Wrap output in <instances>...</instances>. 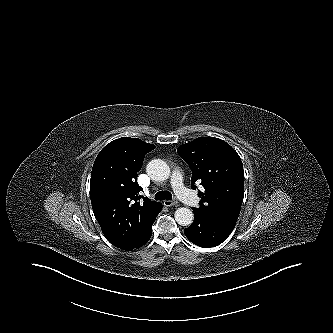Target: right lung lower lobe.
<instances>
[{
  "label": "right lung lower lobe",
  "mask_w": 333,
  "mask_h": 333,
  "mask_svg": "<svg viewBox=\"0 0 333 333\" xmlns=\"http://www.w3.org/2000/svg\"><path fill=\"white\" fill-rule=\"evenodd\" d=\"M151 234H152V227H151V229L149 230V232L147 233V235L143 238L142 242L140 243V245H139L138 247L144 245V244L150 239ZM136 248H137V247H136Z\"/></svg>",
  "instance_id": "1"
}]
</instances>
